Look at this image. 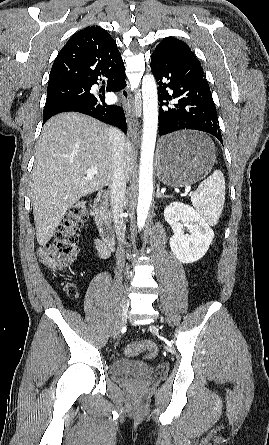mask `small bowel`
<instances>
[{
    "instance_id": "obj_1",
    "label": "small bowel",
    "mask_w": 269,
    "mask_h": 445,
    "mask_svg": "<svg viewBox=\"0 0 269 445\" xmlns=\"http://www.w3.org/2000/svg\"><path fill=\"white\" fill-rule=\"evenodd\" d=\"M97 249H98V253L101 257L105 258L108 256V250L106 249L105 245L101 241H97Z\"/></svg>"
}]
</instances>
